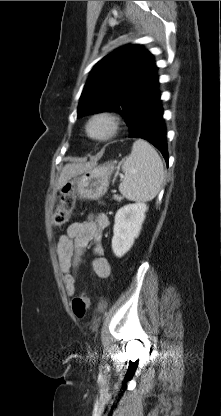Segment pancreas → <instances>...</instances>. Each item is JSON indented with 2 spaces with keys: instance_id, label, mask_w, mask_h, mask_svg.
<instances>
[{
  "instance_id": "cf45deb5",
  "label": "pancreas",
  "mask_w": 221,
  "mask_h": 416,
  "mask_svg": "<svg viewBox=\"0 0 221 416\" xmlns=\"http://www.w3.org/2000/svg\"><path fill=\"white\" fill-rule=\"evenodd\" d=\"M113 199L116 200V201H121L122 200V197L119 196V195H114L113 196Z\"/></svg>"
}]
</instances>
